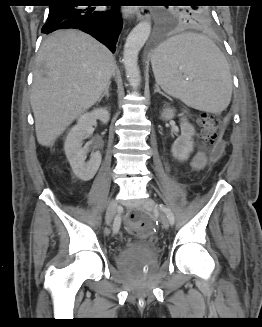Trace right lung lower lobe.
I'll list each match as a JSON object with an SVG mask.
<instances>
[{
  "instance_id": "right-lung-lower-lobe-1",
  "label": "right lung lower lobe",
  "mask_w": 262,
  "mask_h": 327,
  "mask_svg": "<svg viewBox=\"0 0 262 327\" xmlns=\"http://www.w3.org/2000/svg\"><path fill=\"white\" fill-rule=\"evenodd\" d=\"M72 0H52L49 15L42 27V33L49 34L55 30L74 28L84 31L115 53L117 39L122 27V19L117 11H97L93 6H77Z\"/></svg>"
}]
</instances>
